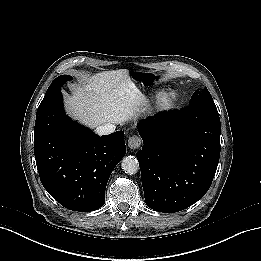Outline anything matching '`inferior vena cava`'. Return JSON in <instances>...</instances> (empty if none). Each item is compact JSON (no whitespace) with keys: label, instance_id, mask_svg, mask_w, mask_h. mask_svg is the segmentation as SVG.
<instances>
[{"label":"inferior vena cava","instance_id":"602c4592","mask_svg":"<svg viewBox=\"0 0 261 261\" xmlns=\"http://www.w3.org/2000/svg\"><path fill=\"white\" fill-rule=\"evenodd\" d=\"M116 126L112 123L100 125L96 128V134L99 136L109 135L115 131Z\"/></svg>","mask_w":261,"mask_h":261}]
</instances>
